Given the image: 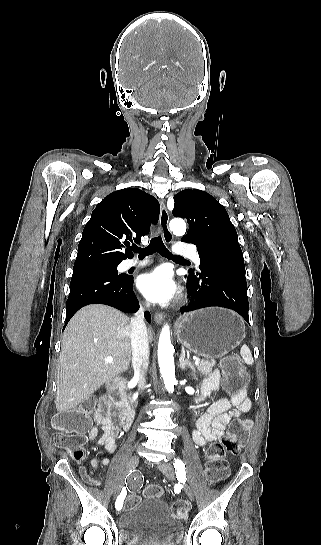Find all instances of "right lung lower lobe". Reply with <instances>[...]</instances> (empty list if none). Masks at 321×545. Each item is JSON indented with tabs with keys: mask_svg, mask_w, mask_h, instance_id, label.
<instances>
[{
	"mask_svg": "<svg viewBox=\"0 0 321 545\" xmlns=\"http://www.w3.org/2000/svg\"><path fill=\"white\" fill-rule=\"evenodd\" d=\"M133 277L113 274L97 268L73 270L70 293L66 305V324L82 307L88 304H106L123 312H136L138 300L133 292ZM145 318L151 321L150 313Z\"/></svg>",
	"mask_w": 321,
	"mask_h": 545,
	"instance_id": "1",
	"label": "right lung lower lobe"
}]
</instances>
